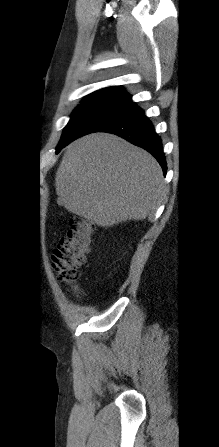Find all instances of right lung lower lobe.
Returning a JSON list of instances; mask_svg holds the SVG:
<instances>
[{"label": "right lung lower lobe", "instance_id": "98d812e1", "mask_svg": "<svg viewBox=\"0 0 219 447\" xmlns=\"http://www.w3.org/2000/svg\"><path fill=\"white\" fill-rule=\"evenodd\" d=\"M95 132L116 134L132 144L144 148L157 159L166 175L167 167L161 139L155 133L153 125L141 108L138 107L132 112L112 120Z\"/></svg>", "mask_w": 219, "mask_h": 447}]
</instances>
